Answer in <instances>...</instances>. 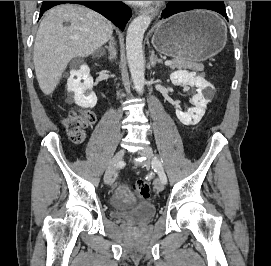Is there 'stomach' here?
Here are the masks:
<instances>
[{"label": "stomach", "mask_w": 271, "mask_h": 266, "mask_svg": "<svg viewBox=\"0 0 271 266\" xmlns=\"http://www.w3.org/2000/svg\"><path fill=\"white\" fill-rule=\"evenodd\" d=\"M226 40V27L215 13L195 10L158 22L152 45L176 60L200 62L218 54Z\"/></svg>", "instance_id": "1"}]
</instances>
